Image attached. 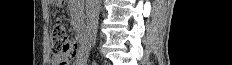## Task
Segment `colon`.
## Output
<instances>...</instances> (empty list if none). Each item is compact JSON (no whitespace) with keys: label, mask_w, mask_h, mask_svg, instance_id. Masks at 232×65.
I'll list each match as a JSON object with an SVG mask.
<instances>
[{"label":"colon","mask_w":232,"mask_h":65,"mask_svg":"<svg viewBox=\"0 0 232 65\" xmlns=\"http://www.w3.org/2000/svg\"><path fill=\"white\" fill-rule=\"evenodd\" d=\"M51 44L54 62L58 65H69L77 55V46L69 39L61 22L52 29Z\"/></svg>","instance_id":"obj_1"}]
</instances>
